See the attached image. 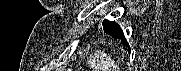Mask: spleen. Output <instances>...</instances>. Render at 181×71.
<instances>
[{"label": "spleen", "instance_id": "1", "mask_svg": "<svg viewBox=\"0 0 181 71\" xmlns=\"http://www.w3.org/2000/svg\"><path fill=\"white\" fill-rule=\"evenodd\" d=\"M89 64L94 71H119L118 65L105 53L95 54Z\"/></svg>", "mask_w": 181, "mask_h": 71}]
</instances>
